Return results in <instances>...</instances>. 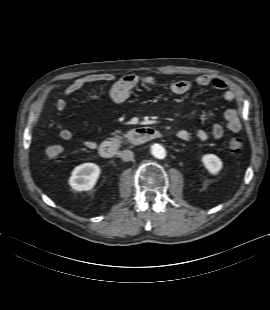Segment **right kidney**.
<instances>
[{
    "label": "right kidney",
    "mask_w": 270,
    "mask_h": 310,
    "mask_svg": "<svg viewBox=\"0 0 270 310\" xmlns=\"http://www.w3.org/2000/svg\"><path fill=\"white\" fill-rule=\"evenodd\" d=\"M100 175V168L94 163H84L77 166L69 179V185L76 191L91 190Z\"/></svg>",
    "instance_id": "right-kidney-1"
}]
</instances>
